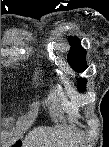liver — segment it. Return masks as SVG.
<instances>
[{
    "label": "liver",
    "mask_w": 109,
    "mask_h": 147,
    "mask_svg": "<svg viewBox=\"0 0 109 147\" xmlns=\"http://www.w3.org/2000/svg\"><path fill=\"white\" fill-rule=\"evenodd\" d=\"M83 139L82 134L72 127L58 129L38 127L24 140V147H77Z\"/></svg>",
    "instance_id": "1"
}]
</instances>
